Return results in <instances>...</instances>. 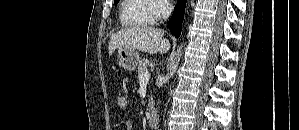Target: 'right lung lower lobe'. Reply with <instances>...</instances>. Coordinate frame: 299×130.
<instances>
[{
	"instance_id": "right-lung-lower-lobe-1",
	"label": "right lung lower lobe",
	"mask_w": 299,
	"mask_h": 130,
	"mask_svg": "<svg viewBox=\"0 0 299 130\" xmlns=\"http://www.w3.org/2000/svg\"><path fill=\"white\" fill-rule=\"evenodd\" d=\"M186 0H179L174 8L173 16L171 17L169 28L172 33L178 38L181 33V26L184 19V11Z\"/></svg>"
}]
</instances>
